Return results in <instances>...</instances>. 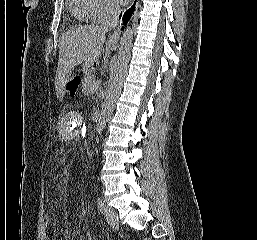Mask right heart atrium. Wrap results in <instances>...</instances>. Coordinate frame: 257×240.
Masks as SVG:
<instances>
[{"mask_svg":"<svg viewBox=\"0 0 257 240\" xmlns=\"http://www.w3.org/2000/svg\"><path fill=\"white\" fill-rule=\"evenodd\" d=\"M94 8L92 11V20L101 23L112 17H114L117 12V6L113 0H94Z\"/></svg>","mask_w":257,"mask_h":240,"instance_id":"right-heart-atrium-1","label":"right heart atrium"}]
</instances>
